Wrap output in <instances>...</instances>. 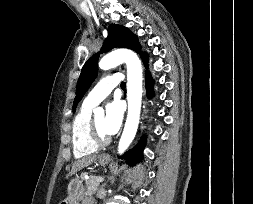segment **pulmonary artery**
<instances>
[{
  "label": "pulmonary artery",
  "instance_id": "e3ab8cb5",
  "mask_svg": "<svg viewBox=\"0 0 253 204\" xmlns=\"http://www.w3.org/2000/svg\"><path fill=\"white\" fill-rule=\"evenodd\" d=\"M123 75L114 73L102 78L98 84L89 92L84 99V104L95 107L103 101L113 90V88L122 82Z\"/></svg>",
  "mask_w": 253,
  "mask_h": 204
}]
</instances>
